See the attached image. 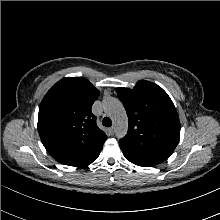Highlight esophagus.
<instances>
[{"mask_svg":"<svg viewBox=\"0 0 220 220\" xmlns=\"http://www.w3.org/2000/svg\"><path fill=\"white\" fill-rule=\"evenodd\" d=\"M109 132H110V134H114V127H111V128H109Z\"/></svg>","mask_w":220,"mask_h":220,"instance_id":"34e87169","label":"esophagus"}]
</instances>
